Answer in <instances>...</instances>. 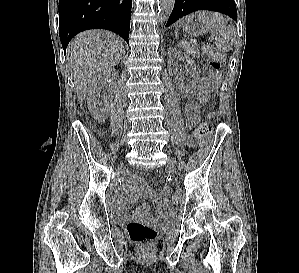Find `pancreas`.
Instances as JSON below:
<instances>
[{
    "label": "pancreas",
    "instance_id": "1",
    "mask_svg": "<svg viewBox=\"0 0 299 273\" xmlns=\"http://www.w3.org/2000/svg\"><path fill=\"white\" fill-rule=\"evenodd\" d=\"M185 50H186L189 54H191L193 57L198 58L199 55H200L199 50H198L196 47H194L193 45H190V44L185 45Z\"/></svg>",
    "mask_w": 299,
    "mask_h": 273
}]
</instances>
